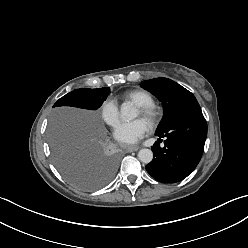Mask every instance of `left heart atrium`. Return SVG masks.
<instances>
[{"label":"left heart atrium","mask_w":248,"mask_h":248,"mask_svg":"<svg viewBox=\"0 0 248 248\" xmlns=\"http://www.w3.org/2000/svg\"><path fill=\"white\" fill-rule=\"evenodd\" d=\"M148 126L145 120L136 119L130 122L119 123L114 130V137L124 144H135L147 133Z\"/></svg>","instance_id":"left-heart-atrium-1"}]
</instances>
